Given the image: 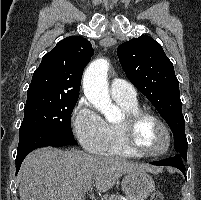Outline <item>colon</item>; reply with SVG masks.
I'll return each instance as SVG.
<instances>
[{"mask_svg":"<svg viewBox=\"0 0 201 200\" xmlns=\"http://www.w3.org/2000/svg\"><path fill=\"white\" fill-rule=\"evenodd\" d=\"M150 200H165V194L162 191H155Z\"/></svg>","mask_w":201,"mask_h":200,"instance_id":"obj_1","label":"colon"}]
</instances>
